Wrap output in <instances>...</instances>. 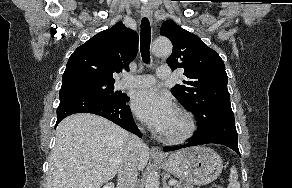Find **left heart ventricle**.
<instances>
[{
  "instance_id": "b2bd125f",
  "label": "left heart ventricle",
  "mask_w": 292,
  "mask_h": 188,
  "mask_svg": "<svg viewBox=\"0 0 292 188\" xmlns=\"http://www.w3.org/2000/svg\"><path fill=\"white\" fill-rule=\"evenodd\" d=\"M184 128H185L184 119L178 113H176L173 121L171 122L165 134H175L182 131Z\"/></svg>"
}]
</instances>
